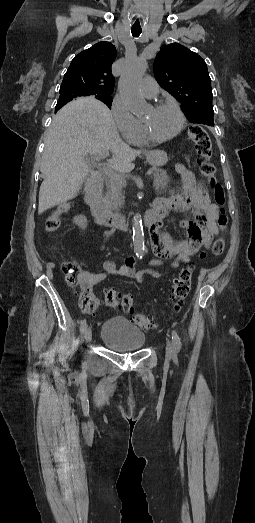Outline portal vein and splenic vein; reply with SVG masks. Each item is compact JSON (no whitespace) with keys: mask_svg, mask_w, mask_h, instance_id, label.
<instances>
[{"mask_svg":"<svg viewBox=\"0 0 255 523\" xmlns=\"http://www.w3.org/2000/svg\"><path fill=\"white\" fill-rule=\"evenodd\" d=\"M94 156H98V154H94ZM105 156V154H104ZM102 156H99V158H95L96 162H100ZM97 171H101L103 175H114L117 173H123V170H117L116 166H111L109 162H106L103 166V163H98ZM147 176H152V172H148ZM126 184V182H125Z\"/></svg>","mask_w":255,"mask_h":523,"instance_id":"1","label":"portal vein and splenic vein"}]
</instances>
